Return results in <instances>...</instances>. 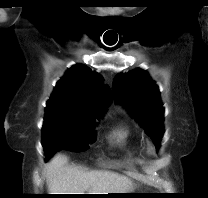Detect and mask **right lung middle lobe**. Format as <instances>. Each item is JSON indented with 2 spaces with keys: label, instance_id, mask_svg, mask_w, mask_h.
Wrapping results in <instances>:
<instances>
[{
  "label": "right lung middle lobe",
  "instance_id": "obj_1",
  "mask_svg": "<svg viewBox=\"0 0 208 198\" xmlns=\"http://www.w3.org/2000/svg\"><path fill=\"white\" fill-rule=\"evenodd\" d=\"M96 119L73 113H46L42 128L45 160L61 149L87 150L95 141Z\"/></svg>",
  "mask_w": 208,
  "mask_h": 198
}]
</instances>
